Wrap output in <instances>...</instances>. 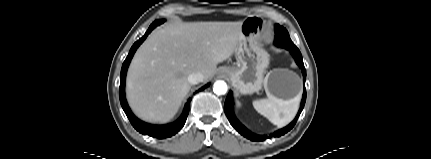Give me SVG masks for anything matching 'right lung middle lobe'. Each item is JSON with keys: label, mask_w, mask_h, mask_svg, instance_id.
I'll return each mask as SVG.
<instances>
[{"label": "right lung middle lobe", "mask_w": 431, "mask_h": 159, "mask_svg": "<svg viewBox=\"0 0 431 159\" xmlns=\"http://www.w3.org/2000/svg\"><path fill=\"white\" fill-rule=\"evenodd\" d=\"M164 21H165V20H156L154 23H155L156 25H160V24H162Z\"/></svg>", "instance_id": "dd1d6c3e"}]
</instances>
